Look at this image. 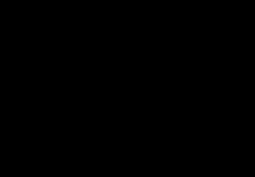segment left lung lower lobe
Returning a JSON list of instances; mask_svg holds the SVG:
<instances>
[{"instance_id":"1","label":"left lung lower lobe","mask_w":255,"mask_h":177,"mask_svg":"<svg viewBox=\"0 0 255 177\" xmlns=\"http://www.w3.org/2000/svg\"><path fill=\"white\" fill-rule=\"evenodd\" d=\"M156 107L159 114L157 120L161 124L152 128L150 134L161 139L171 137L174 134L177 120L186 114V110L178 105L163 101H159ZM144 126L146 130L149 129L151 127L150 120L146 121Z\"/></svg>"}]
</instances>
